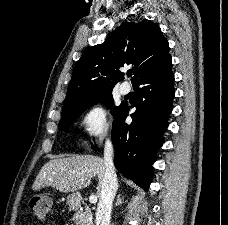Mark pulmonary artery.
Returning a JSON list of instances; mask_svg holds the SVG:
<instances>
[{"label": "pulmonary artery", "mask_w": 228, "mask_h": 225, "mask_svg": "<svg viewBox=\"0 0 228 225\" xmlns=\"http://www.w3.org/2000/svg\"><path fill=\"white\" fill-rule=\"evenodd\" d=\"M119 91L122 95H127L128 93H130L131 91V86L128 82H123L121 85H120V88H119Z\"/></svg>", "instance_id": "pulmonary-artery-1"}]
</instances>
